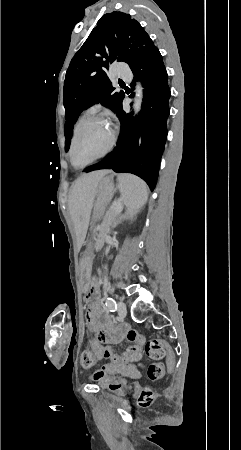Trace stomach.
<instances>
[{
  "label": "stomach",
  "instance_id": "1",
  "mask_svg": "<svg viewBox=\"0 0 241 450\" xmlns=\"http://www.w3.org/2000/svg\"><path fill=\"white\" fill-rule=\"evenodd\" d=\"M116 191V186L113 182L112 177H103L98 184L96 191V200L94 203L93 218L94 221L100 220L105 212L108 203L111 201L114 193ZM95 236H93V239ZM92 247L93 242L90 241L88 248L84 251L80 259V274H79V286L85 291L88 288L90 281V273L92 267Z\"/></svg>",
  "mask_w": 241,
  "mask_h": 450
}]
</instances>
